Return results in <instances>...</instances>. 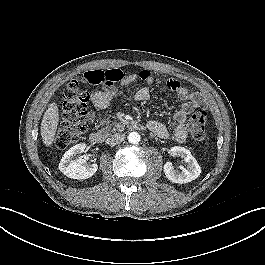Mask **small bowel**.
<instances>
[{
    "label": "small bowel",
    "mask_w": 265,
    "mask_h": 265,
    "mask_svg": "<svg viewBox=\"0 0 265 265\" xmlns=\"http://www.w3.org/2000/svg\"><path fill=\"white\" fill-rule=\"evenodd\" d=\"M118 79L122 85H128L137 79L141 78L139 74H129V75H122L119 73ZM146 82V86L140 88L135 93L136 100L140 102H144L150 99V88L154 82V77L148 72L144 77H142ZM86 80V77H85ZM104 87L102 90H91V102L92 105L99 110L105 109L112 98L115 96L116 89L114 87V82L109 84H103ZM168 88L174 91L178 97L183 101V106L180 110H178L175 115V127L173 130V139L179 143H184L187 140V126H186V117L189 113H191L194 109L198 108L201 105L199 96L187 89L186 87L180 85L177 82H169ZM92 119V117H90ZM147 127L150 131L155 133L158 137L162 139H166L169 137V130L168 128L162 124L161 122L150 120L147 123Z\"/></svg>",
    "instance_id": "c3829d8e"
}]
</instances>
